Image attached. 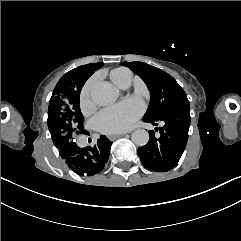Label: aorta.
Masks as SVG:
<instances>
[{
    "instance_id": "1",
    "label": "aorta",
    "mask_w": 241,
    "mask_h": 241,
    "mask_svg": "<svg viewBox=\"0 0 241 241\" xmlns=\"http://www.w3.org/2000/svg\"><path fill=\"white\" fill-rule=\"evenodd\" d=\"M92 100L100 106L113 104L119 95V91L109 82L99 81L90 91ZM132 142L137 146H144L149 141V133L144 129H137L131 135Z\"/></svg>"
}]
</instances>
